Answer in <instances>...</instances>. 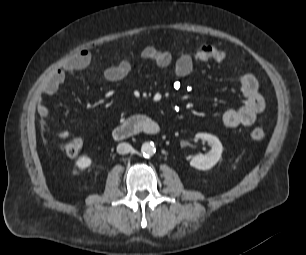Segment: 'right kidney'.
Segmentation results:
<instances>
[{"label":"right kidney","instance_id":"ca27d5eb","mask_svg":"<svg viewBox=\"0 0 306 255\" xmlns=\"http://www.w3.org/2000/svg\"><path fill=\"white\" fill-rule=\"evenodd\" d=\"M92 163V160L87 156H81L77 159L75 165L78 167L81 171H84L88 167H90Z\"/></svg>","mask_w":306,"mask_h":255}]
</instances>
